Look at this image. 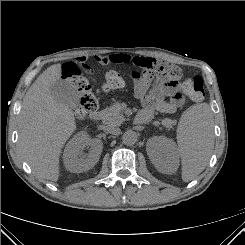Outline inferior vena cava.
<instances>
[{"mask_svg":"<svg viewBox=\"0 0 245 245\" xmlns=\"http://www.w3.org/2000/svg\"><path fill=\"white\" fill-rule=\"evenodd\" d=\"M105 130L115 136H118L120 134V129L115 126H106Z\"/></svg>","mask_w":245,"mask_h":245,"instance_id":"602c4592","label":"inferior vena cava"}]
</instances>
